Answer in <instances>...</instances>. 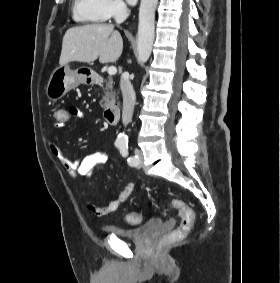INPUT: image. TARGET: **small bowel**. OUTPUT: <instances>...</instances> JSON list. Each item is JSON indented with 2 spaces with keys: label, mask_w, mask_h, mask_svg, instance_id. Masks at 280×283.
Returning <instances> with one entry per match:
<instances>
[{
  "label": "small bowel",
  "mask_w": 280,
  "mask_h": 283,
  "mask_svg": "<svg viewBox=\"0 0 280 283\" xmlns=\"http://www.w3.org/2000/svg\"><path fill=\"white\" fill-rule=\"evenodd\" d=\"M68 114L76 120H84L83 112L77 107L68 108ZM66 123L56 122L57 128H63ZM50 152L59 160L65 171L72 177H89L93 170L106 161V155L103 152H97L80 157L77 160L67 158L60 147L51 139L47 142ZM134 191V184L129 183L119 194L118 198L110 201L108 204L100 206L90 201L86 202V208L95 216L103 217L115 212L119 206L127 201Z\"/></svg>",
  "instance_id": "1"
}]
</instances>
